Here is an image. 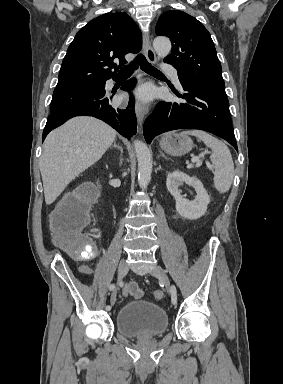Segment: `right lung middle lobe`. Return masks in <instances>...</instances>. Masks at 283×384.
<instances>
[{
  "instance_id": "obj_1",
  "label": "right lung middle lobe",
  "mask_w": 283,
  "mask_h": 384,
  "mask_svg": "<svg viewBox=\"0 0 283 384\" xmlns=\"http://www.w3.org/2000/svg\"><path fill=\"white\" fill-rule=\"evenodd\" d=\"M103 85L104 84H96L77 88L55 89L51 102V110H56L88 98L99 91Z\"/></svg>"
}]
</instances>
